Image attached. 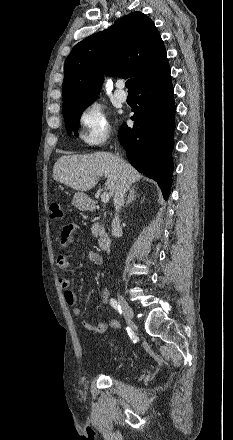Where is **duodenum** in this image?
<instances>
[{
	"label": "duodenum",
	"instance_id": "410a0bca",
	"mask_svg": "<svg viewBox=\"0 0 233 440\" xmlns=\"http://www.w3.org/2000/svg\"><path fill=\"white\" fill-rule=\"evenodd\" d=\"M99 246L106 250L109 249L111 246V239L110 237L106 236V235H100L99 237Z\"/></svg>",
	"mask_w": 233,
	"mask_h": 440
}]
</instances>
